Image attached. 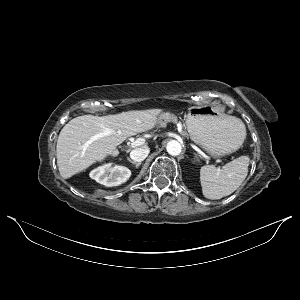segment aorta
Listing matches in <instances>:
<instances>
[{"label": "aorta", "mask_w": 300, "mask_h": 300, "mask_svg": "<svg viewBox=\"0 0 300 300\" xmlns=\"http://www.w3.org/2000/svg\"><path fill=\"white\" fill-rule=\"evenodd\" d=\"M166 150L168 154L178 156L182 152V145L176 140H171L167 143Z\"/></svg>", "instance_id": "762f6f07"}]
</instances>
